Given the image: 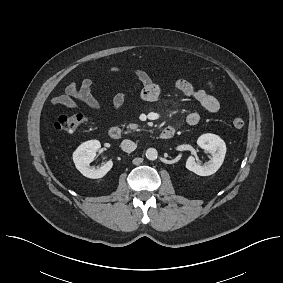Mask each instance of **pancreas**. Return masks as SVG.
Segmentation results:
<instances>
[{"label":"pancreas","instance_id":"cf45deb5","mask_svg":"<svg viewBox=\"0 0 283 283\" xmlns=\"http://www.w3.org/2000/svg\"><path fill=\"white\" fill-rule=\"evenodd\" d=\"M127 128H129V129H131V130H139V129H138V125H137V124H133V123L127 125ZM129 132H130V131H129Z\"/></svg>","mask_w":283,"mask_h":283}]
</instances>
